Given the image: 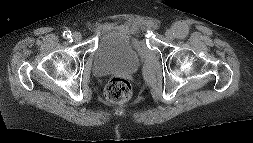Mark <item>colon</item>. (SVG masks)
Segmentation results:
<instances>
[{"label": "colon", "mask_w": 253, "mask_h": 143, "mask_svg": "<svg viewBox=\"0 0 253 143\" xmlns=\"http://www.w3.org/2000/svg\"><path fill=\"white\" fill-rule=\"evenodd\" d=\"M132 95V86L125 78L111 79L105 88V97L111 103H123Z\"/></svg>", "instance_id": "obj_1"}]
</instances>
